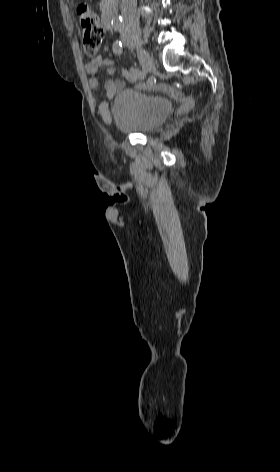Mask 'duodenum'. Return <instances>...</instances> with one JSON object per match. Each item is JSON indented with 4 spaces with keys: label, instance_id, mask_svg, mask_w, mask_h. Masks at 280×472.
Listing matches in <instances>:
<instances>
[{
    "label": "duodenum",
    "instance_id": "obj_1",
    "mask_svg": "<svg viewBox=\"0 0 280 472\" xmlns=\"http://www.w3.org/2000/svg\"><path fill=\"white\" fill-rule=\"evenodd\" d=\"M117 12V0H110L103 13V24L107 29H111L114 24L115 15Z\"/></svg>",
    "mask_w": 280,
    "mask_h": 472
}]
</instances>
